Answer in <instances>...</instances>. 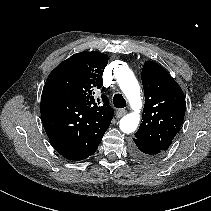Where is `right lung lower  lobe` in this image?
Here are the masks:
<instances>
[{
	"label": "right lung lower lobe",
	"instance_id": "98d812e1",
	"mask_svg": "<svg viewBox=\"0 0 211 211\" xmlns=\"http://www.w3.org/2000/svg\"><path fill=\"white\" fill-rule=\"evenodd\" d=\"M41 118L52 146L69 160L92 155L109 127L84 115L74 98L51 91L42 92Z\"/></svg>",
	"mask_w": 211,
	"mask_h": 211
}]
</instances>
